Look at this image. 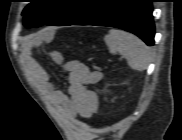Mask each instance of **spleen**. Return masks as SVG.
I'll list each match as a JSON object with an SVG mask.
<instances>
[{
  "instance_id": "1",
  "label": "spleen",
  "mask_w": 182,
  "mask_h": 140,
  "mask_svg": "<svg viewBox=\"0 0 182 140\" xmlns=\"http://www.w3.org/2000/svg\"><path fill=\"white\" fill-rule=\"evenodd\" d=\"M104 40L110 53L123 55L132 69L137 71L147 69L151 61V52L138 37L122 30L111 29Z\"/></svg>"
}]
</instances>
